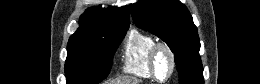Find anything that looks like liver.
<instances>
[{
  "label": "liver",
  "mask_w": 260,
  "mask_h": 84,
  "mask_svg": "<svg viewBox=\"0 0 260 84\" xmlns=\"http://www.w3.org/2000/svg\"><path fill=\"white\" fill-rule=\"evenodd\" d=\"M123 82H132V81H129V80H116V81H113L110 84H124Z\"/></svg>",
  "instance_id": "1"
}]
</instances>
